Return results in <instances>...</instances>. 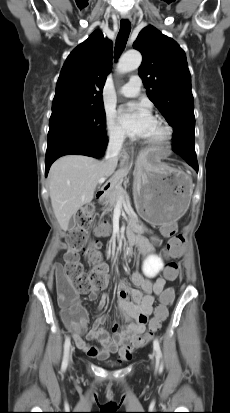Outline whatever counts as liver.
Here are the masks:
<instances>
[{"label": "liver", "mask_w": 230, "mask_h": 413, "mask_svg": "<svg viewBox=\"0 0 230 413\" xmlns=\"http://www.w3.org/2000/svg\"><path fill=\"white\" fill-rule=\"evenodd\" d=\"M105 160L84 155H67L56 160L49 171V195L55 217L62 230L71 217L92 201L100 178L115 171Z\"/></svg>", "instance_id": "obj_1"}]
</instances>
